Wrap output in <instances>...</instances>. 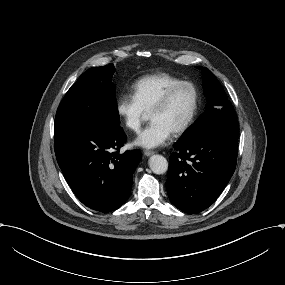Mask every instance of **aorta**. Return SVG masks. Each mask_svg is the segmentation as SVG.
I'll use <instances>...</instances> for the list:
<instances>
[{"label": "aorta", "instance_id": "762f6f07", "mask_svg": "<svg viewBox=\"0 0 285 285\" xmlns=\"http://www.w3.org/2000/svg\"><path fill=\"white\" fill-rule=\"evenodd\" d=\"M149 167L155 174H164L168 170V162L162 155H152Z\"/></svg>", "mask_w": 285, "mask_h": 285}]
</instances>
